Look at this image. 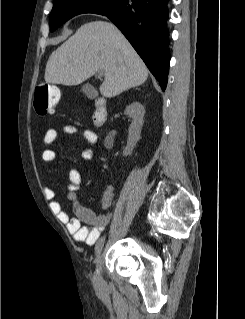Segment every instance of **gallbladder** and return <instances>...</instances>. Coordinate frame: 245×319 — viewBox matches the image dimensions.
Masks as SVG:
<instances>
[{"label": "gallbladder", "instance_id": "bac80fb5", "mask_svg": "<svg viewBox=\"0 0 245 319\" xmlns=\"http://www.w3.org/2000/svg\"><path fill=\"white\" fill-rule=\"evenodd\" d=\"M82 91L87 97H95L97 95L95 88L88 83L82 86Z\"/></svg>", "mask_w": 245, "mask_h": 319}]
</instances>
